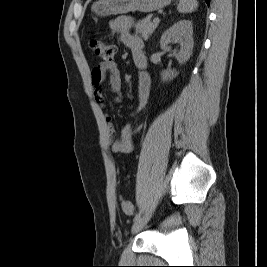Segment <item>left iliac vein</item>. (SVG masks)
<instances>
[{"instance_id":"left-iliac-vein-1","label":"left iliac vein","mask_w":267,"mask_h":267,"mask_svg":"<svg viewBox=\"0 0 267 267\" xmlns=\"http://www.w3.org/2000/svg\"><path fill=\"white\" fill-rule=\"evenodd\" d=\"M152 216V210H149L144 215H142L137 221L134 222L131 228V232L133 234L138 233L143 227L147 224Z\"/></svg>"}]
</instances>
